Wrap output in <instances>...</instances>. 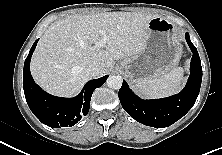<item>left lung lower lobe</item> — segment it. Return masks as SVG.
<instances>
[{"label": "left lung lower lobe", "mask_w": 222, "mask_h": 155, "mask_svg": "<svg viewBox=\"0 0 222 155\" xmlns=\"http://www.w3.org/2000/svg\"><path fill=\"white\" fill-rule=\"evenodd\" d=\"M185 39L193 56L188 82L180 93L163 99L142 100L123 80L118 93L121 105L138 122L151 127H168L182 118L194 105L201 87L202 67L197 49L190 41L188 33L185 34Z\"/></svg>", "instance_id": "0a47b994"}]
</instances>
